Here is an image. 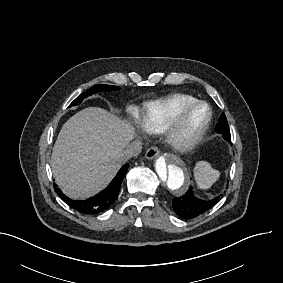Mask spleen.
<instances>
[{"instance_id": "1", "label": "spleen", "mask_w": 283, "mask_h": 283, "mask_svg": "<svg viewBox=\"0 0 283 283\" xmlns=\"http://www.w3.org/2000/svg\"><path fill=\"white\" fill-rule=\"evenodd\" d=\"M219 176L220 172L205 161L198 162L194 168V178L200 189H209Z\"/></svg>"}]
</instances>
